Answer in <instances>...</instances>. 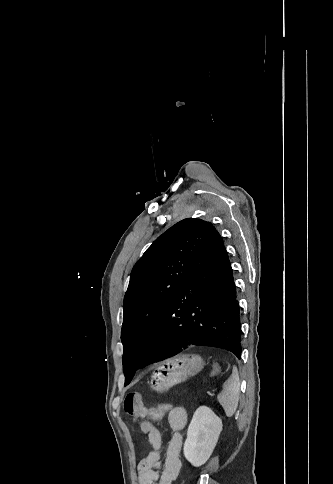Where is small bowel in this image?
<instances>
[{"instance_id":"1","label":"small bowel","mask_w":333,"mask_h":484,"mask_svg":"<svg viewBox=\"0 0 333 484\" xmlns=\"http://www.w3.org/2000/svg\"><path fill=\"white\" fill-rule=\"evenodd\" d=\"M126 414L139 422L140 429L147 435L152 447L147 457L139 464V484H172L181 469L180 452L183 438L181 431L187 423V413L183 407L176 406L166 416L172 433L168 439L165 460L161 461L162 435L149 421V407L143 402L140 394L133 392L126 395L123 402ZM161 418V419H162Z\"/></svg>"}]
</instances>
